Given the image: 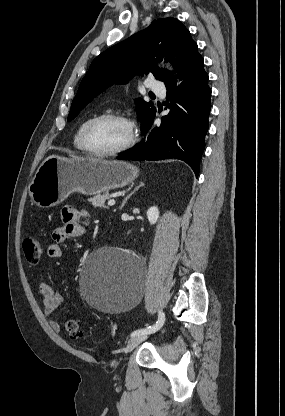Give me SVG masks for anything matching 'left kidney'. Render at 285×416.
Here are the masks:
<instances>
[{"label": "left kidney", "instance_id": "5707ae66", "mask_svg": "<svg viewBox=\"0 0 285 416\" xmlns=\"http://www.w3.org/2000/svg\"><path fill=\"white\" fill-rule=\"evenodd\" d=\"M147 218L150 224H156L159 218V210L158 208H156V206H152V208H149V210H147Z\"/></svg>", "mask_w": 285, "mask_h": 416}]
</instances>
